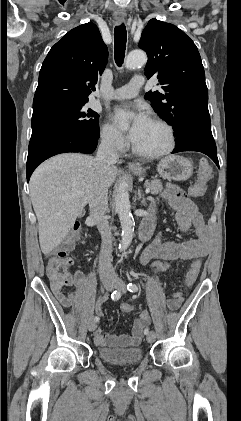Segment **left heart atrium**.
Returning a JSON list of instances; mask_svg holds the SVG:
<instances>
[{"label": "left heart atrium", "mask_w": 241, "mask_h": 421, "mask_svg": "<svg viewBox=\"0 0 241 421\" xmlns=\"http://www.w3.org/2000/svg\"><path fill=\"white\" fill-rule=\"evenodd\" d=\"M131 112L127 108H119L114 116L113 119L116 124L123 123L129 116ZM149 122V118L141 111L137 112L133 116L132 124L128 132V138L133 143L138 139L139 135L141 134L142 130L145 128L147 123Z\"/></svg>", "instance_id": "obj_1"}]
</instances>
